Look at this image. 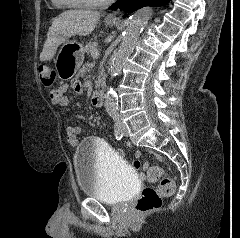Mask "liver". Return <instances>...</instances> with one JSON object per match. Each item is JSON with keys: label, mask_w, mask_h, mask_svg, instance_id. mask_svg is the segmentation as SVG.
Instances as JSON below:
<instances>
[{"label": "liver", "mask_w": 240, "mask_h": 238, "mask_svg": "<svg viewBox=\"0 0 240 238\" xmlns=\"http://www.w3.org/2000/svg\"><path fill=\"white\" fill-rule=\"evenodd\" d=\"M100 19V13L88 10H67L56 17L47 33L40 60H51L57 48L71 36L89 35Z\"/></svg>", "instance_id": "liver-1"}]
</instances>
